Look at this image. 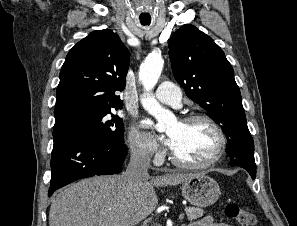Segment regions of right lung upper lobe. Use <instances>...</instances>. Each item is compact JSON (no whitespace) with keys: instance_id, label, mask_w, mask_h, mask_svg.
Returning <instances> with one entry per match:
<instances>
[{"instance_id":"cb5924a9","label":"right lung upper lobe","mask_w":297,"mask_h":226,"mask_svg":"<svg viewBox=\"0 0 297 226\" xmlns=\"http://www.w3.org/2000/svg\"><path fill=\"white\" fill-rule=\"evenodd\" d=\"M130 63L129 51L110 29L79 41L66 56L56 92L55 120L83 111L118 109Z\"/></svg>"}]
</instances>
